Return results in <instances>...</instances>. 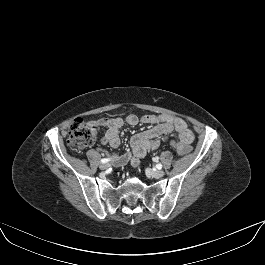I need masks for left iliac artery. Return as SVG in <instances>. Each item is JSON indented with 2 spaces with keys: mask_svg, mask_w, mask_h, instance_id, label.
<instances>
[{
  "mask_svg": "<svg viewBox=\"0 0 265 265\" xmlns=\"http://www.w3.org/2000/svg\"><path fill=\"white\" fill-rule=\"evenodd\" d=\"M158 160H159L158 157H155V158H154V161H155V162H158ZM156 168L160 170V169L162 168V164H160V163L157 164V165H156Z\"/></svg>",
  "mask_w": 265,
  "mask_h": 265,
  "instance_id": "obj_1",
  "label": "left iliac artery"
}]
</instances>
